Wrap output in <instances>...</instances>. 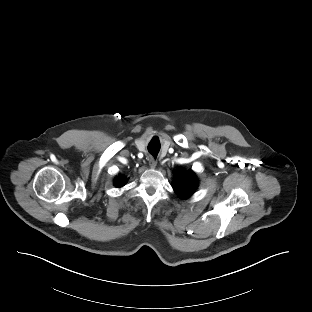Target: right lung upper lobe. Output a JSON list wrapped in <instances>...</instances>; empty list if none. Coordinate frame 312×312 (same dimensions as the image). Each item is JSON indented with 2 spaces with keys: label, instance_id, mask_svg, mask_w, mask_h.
Here are the masks:
<instances>
[{
  "label": "right lung upper lobe",
  "instance_id": "obj_1",
  "mask_svg": "<svg viewBox=\"0 0 312 312\" xmlns=\"http://www.w3.org/2000/svg\"><path fill=\"white\" fill-rule=\"evenodd\" d=\"M126 182V178H123V177H120V178H116L114 184L117 186V187H122Z\"/></svg>",
  "mask_w": 312,
  "mask_h": 312
}]
</instances>
